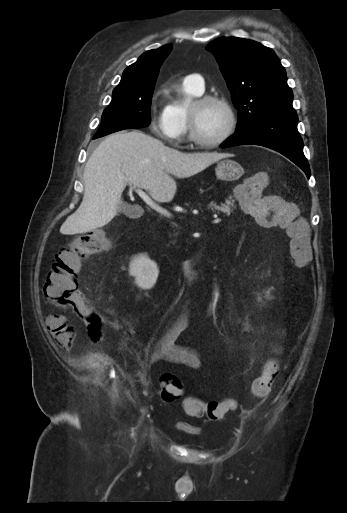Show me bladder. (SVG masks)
<instances>
[{
	"mask_svg": "<svg viewBox=\"0 0 347 513\" xmlns=\"http://www.w3.org/2000/svg\"><path fill=\"white\" fill-rule=\"evenodd\" d=\"M177 428L179 430H182L186 433H189V434H193V435H198L199 434V430L193 426H191L190 424L186 423V422H178L177 423Z\"/></svg>",
	"mask_w": 347,
	"mask_h": 513,
	"instance_id": "1",
	"label": "bladder"
}]
</instances>
